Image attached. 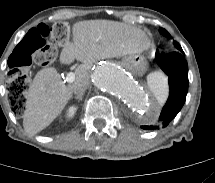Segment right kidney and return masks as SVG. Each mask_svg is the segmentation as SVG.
<instances>
[{
    "label": "right kidney",
    "mask_w": 215,
    "mask_h": 183,
    "mask_svg": "<svg viewBox=\"0 0 215 183\" xmlns=\"http://www.w3.org/2000/svg\"><path fill=\"white\" fill-rule=\"evenodd\" d=\"M76 111H77V107L76 106H71V107L68 108L66 116L68 118H72L75 115Z\"/></svg>",
    "instance_id": "right-kidney-1"
}]
</instances>
